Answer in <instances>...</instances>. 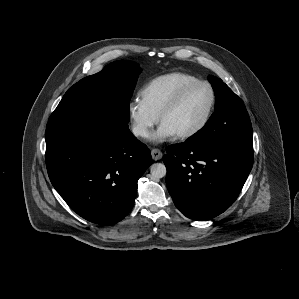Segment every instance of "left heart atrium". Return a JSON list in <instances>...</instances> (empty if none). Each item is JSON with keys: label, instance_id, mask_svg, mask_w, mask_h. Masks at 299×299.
Here are the masks:
<instances>
[{"label": "left heart atrium", "instance_id": "1", "mask_svg": "<svg viewBox=\"0 0 299 299\" xmlns=\"http://www.w3.org/2000/svg\"><path fill=\"white\" fill-rule=\"evenodd\" d=\"M175 132L167 125L161 123L158 129L153 133L152 140L155 142H164L175 137Z\"/></svg>", "mask_w": 299, "mask_h": 299}]
</instances>
